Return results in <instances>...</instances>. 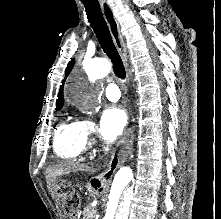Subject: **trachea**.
Wrapping results in <instances>:
<instances>
[{
    "label": "trachea",
    "mask_w": 221,
    "mask_h": 219,
    "mask_svg": "<svg viewBox=\"0 0 221 219\" xmlns=\"http://www.w3.org/2000/svg\"><path fill=\"white\" fill-rule=\"evenodd\" d=\"M91 27L99 41V44L112 62L114 74L121 80L126 77L125 68L119 53L113 43L108 25L103 17L99 3H83Z\"/></svg>",
    "instance_id": "obj_1"
}]
</instances>
